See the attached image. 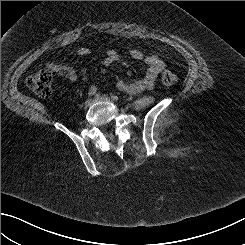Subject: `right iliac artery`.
I'll return each mask as SVG.
<instances>
[{
    "label": "right iliac artery",
    "instance_id": "right-iliac-artery-1",
    "mask_svg": "<svg viewBox=\"0 0 245 245\" xmlns=\"http://www.w3.org/2000/svg\"><path fill=\"white\" fill-rule=\"evenodd\" d=\"M99 96H100V94H96V95H95V98H98Z\"/></svg>",
    "mask_w": 245,
    "mask_h": 245
}]
</instances>
